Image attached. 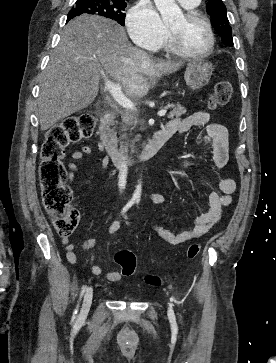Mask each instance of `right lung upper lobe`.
Listing matches in <instances>:
<instances>
[{"label": "right lung upper lobe", "instance_id": "cb5924a9", "mask_svg": "<svg viewBox=\"0 0 276 363\" xmlns=\"http://www.w3.org/2000/svg\"><path fill=\"white\" fill-rule=\"evenodd\" d=\"M113 1H124L125 2L126 0H113Z\"/></svg>", "mask_w": 276, "mask_h": 363}]
</instances>
